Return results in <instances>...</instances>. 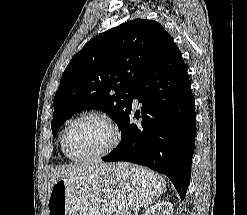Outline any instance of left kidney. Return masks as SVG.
<instances>
[{"instance_id":"1","label":"left kidney","mask_w":247,"mask_h":215,"mask_svg":"<svg viewBox=\"0 0 247 215\" xmlns=\"http://www.w3.org/2000/svg\"><path fill=\"white\" fill-rule=\"evenodd\" d=\"M173 204L171 202H160L148 208L144 215H172Z\"/></svg>"}]
</instances>
